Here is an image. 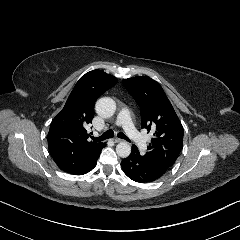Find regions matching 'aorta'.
<instances>
[{
    "mask_svg": "<svg viewBox=\"0 0 240 240\" xmlns=\"http://www.w3.org/2000/svg\"><path fill=\"white\" fill-rule=\"evenodd\" d=\"M96 113L102 118H110L116 111V102L110 97H102L95 104ZM116 153L122 158H126L131 153V146L122 141L116 146Z\"/></svg>",
    "mask_w": 240,
    "mask_h": 240,
    "instance_id": "aorta-1",
    "label": "aorta"
}]
</instances>
